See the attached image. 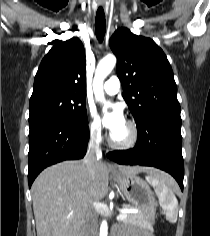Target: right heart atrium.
I'll return each instance as SVG.
<instances>
[{
	"label": "right heart atrium",
	"mask_w": 210,
	"mask_h": 236,
	"mask_svg": "<svg viewBox=\"0 0 210 236\" xmlns=\"http://www.w3.org/2000/svg\"><path fill=\"white\" fill-rule=\"evenodd\" d=\"M87 129L89 135L94 140H101L103 137V127L101 121L96 116L93 109H89L87 112Z\"/></svg>",
	"instance_id": "1"
}]
</instances>
